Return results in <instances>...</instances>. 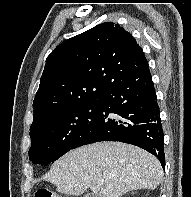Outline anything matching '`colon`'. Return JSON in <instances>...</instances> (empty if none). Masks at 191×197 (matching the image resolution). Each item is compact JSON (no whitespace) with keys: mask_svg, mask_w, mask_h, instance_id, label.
Here are the masks:
<instances>
[{"mask_svg":"<svg viewBox=\"0 0 191 197\" xmlns=\"http://www.w3.org/2000/svg\"><path fill=\"white\" fill-rule=\"evenodd\" d=\"M35 197H63V196L47 189H39L35 193Z\"/></svg>","mask_w":191,"mask_h":197,"instance_id":"obj_1","label":"colon"}]
</instances>
